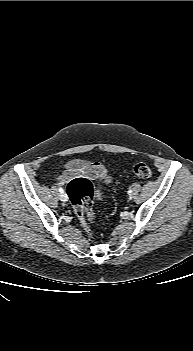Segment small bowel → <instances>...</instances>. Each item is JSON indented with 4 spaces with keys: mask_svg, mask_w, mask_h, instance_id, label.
I'll list each match as a JSON object with an SVG mask.
<instances>
[{
    "mask_svg": "<svg viewBox=\"0 0 193 351\" xmlns=\"http://www.w3.org/2000/svg\"><path fill=\"white\" fill-rule=\"evenodd\" d=\"M76 177L97 180L103 184L110 182L107 169L101 163L80 159L70 161L65 171L57 177V181L64 184Z\"/></svg>",
    "mask_w": 193,
    "mask_h": 351,
    "instance_id": "c3829d8e",
    "label": "small bowel"
}]
</instances>
